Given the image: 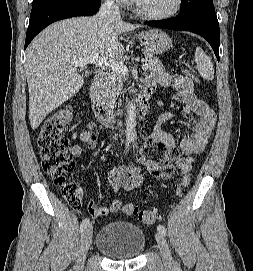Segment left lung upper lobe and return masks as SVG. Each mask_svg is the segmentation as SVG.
Listing matches in <instances>:
<instances>
[{
    "label": "left lung upper lobe",
    "mask_w": 253,
    "mask_h": 271,
    "mask_svg": "<svg viewBox=\"0 0 253 271\" xmlns=\"http://www.w3.org/2000/svg\"><path fill=\"white\" fill-rule=\"evenodd\" d=\"M209 4H213V0H183L181 5V17H189L195 13H199Z\"/></svg>",
    "instance_id": "5c2ea615"
}]
</instances>
